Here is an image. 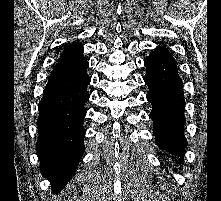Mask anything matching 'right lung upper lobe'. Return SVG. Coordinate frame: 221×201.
Returning <instances> with one entry per match:
<instances>
[{
    "instance_id": "right-lung-upper-lobe-1",
    "label": "right lung upper lobe",
    "mask_w": 221,
    "mask_h": 201,
    "mask_svg": "<svg viewBox=\"0 0 221 201\" xmlns=\"http://www.w3.org/2000/svg\"><path fill=\"white\" fill-rule=\"evenodd\" d=\"M85 60L83 57V46L74 42L65 47L59 58V63H77Z\"/></svg>"
}]
</instances>
